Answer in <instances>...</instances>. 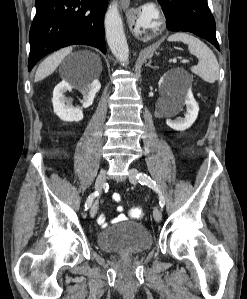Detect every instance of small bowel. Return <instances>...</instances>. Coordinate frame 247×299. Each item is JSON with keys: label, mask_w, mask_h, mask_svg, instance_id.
I'll list each match as a JSON object with an SVG mask.
<instances>
[{"label": "small bowel", "mask_w": 247, "mask_h": 299, "mask_svg": "<svg viewBox=\"0 0 247 299\" xmlns=\"http://www.w3.org/2000/svg\"><path fill=\"white\" fill-rule=\"evenodd\" d=\"M112 199H113L115 202H119V201H121V195L118 194V193H114V194L112 195ZM117 211H118V212H122V211H123V207H122V206H118V207H117ZM123 220H126V216H125L124 214H119V215L116 217V219H115V221H123ZM97 221H98V223H99V225H100L101 227H105V226L108 225V222H107L106 217H105L104 214H100Z\"/></svg>", "instance_id": "c3829d8e"}]
</instances>
